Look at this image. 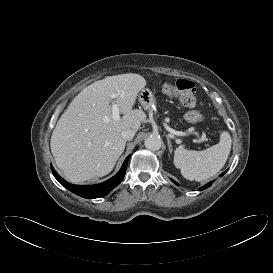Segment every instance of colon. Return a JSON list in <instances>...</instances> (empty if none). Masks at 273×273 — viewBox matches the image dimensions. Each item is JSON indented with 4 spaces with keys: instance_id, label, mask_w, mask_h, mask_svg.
<instances>
[{
    "instance_id": "5ec220e1",
    "label": "colon",
    "mask_w": 273,
    "mask_h": 273,
    "mask_svg": "<svg viewBox=\"0 0 273 273\" xmlns=\"http://www.w3.org/2000/svg\"><path fill=\"white\" fill-rule=\"evenodd\" d=\"M163 90L170 95L177 96L187 107H193L196 104L195 85L189 80L179 79L174 83H166L163 85ZM185 119L196 123L202 120V116L198 111L190 110L185 114Z\"/></svg>"
}]
</instances>
